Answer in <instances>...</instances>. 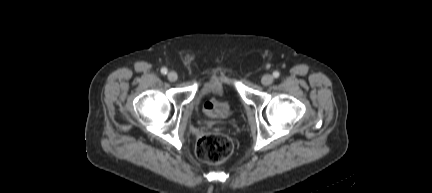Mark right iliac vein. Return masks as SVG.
<instances>
[{
	"instance_id": "obj_1",
	"label": "right iliac vein",
	"mask_w": 432,
	"mask_h": 193,
	"mask_svg": "<svg viewBox=\"0 0 432 193\" xmlns=\"http://www.w3.org/2000/svg\"><path fill=\"white\" fill-rule=\"evenodd\" d=\"M167 78H168L169 81L174 82V81L177 80L178 75H177L176 72L171 71V72L168 73Z\"/></svg>"
}]
</instances>
